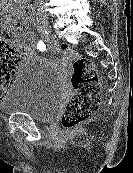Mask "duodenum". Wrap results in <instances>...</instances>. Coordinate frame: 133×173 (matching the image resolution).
I'll return each instance as SVG.
<instances>
[{"label": "duodenum", "mask_w": 133, "mask_h": 173, "mask_svg": "<svg viewBox=\"0 0 133 173\" xmlns=\"http://www.w3.org/2000/svg\"><path fill=\"white\" fill-rule=\"evenodd\" d=\"M14 1L17 2L20 5L23 14L27 18H30L31 14H32L31 6L28 5L24 0H14Z\"/></svg>", "instance_id": "obj_1"}]
</instances>
